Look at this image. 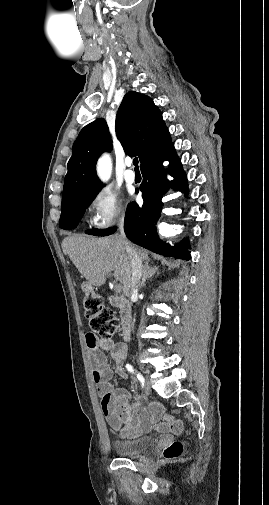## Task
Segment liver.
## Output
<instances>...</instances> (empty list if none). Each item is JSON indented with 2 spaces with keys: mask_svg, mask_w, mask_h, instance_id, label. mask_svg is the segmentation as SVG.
<instances>
[{
  "mask_svg": "<svg viewBox=\"0 0 269 505\" xmlns=\"http://www.w3.org/2000/svg\"><path fill=\"white\" fill-rule=\"evenodd\" d=\"M130 244V243H129ZM141 260L148 259V251L130 244ZM62 250L68 255L78 271L94 286H102L113 272L116 281L122 285L125 295H129L131 266L125 241L118 235L92 238L83 235L65 237Z\"/></svg>",
  "mask_w": 269,
  "mask_h": 505,
  "instance_id": "obj_1",
  "label": "liver"
}]
</instances>
